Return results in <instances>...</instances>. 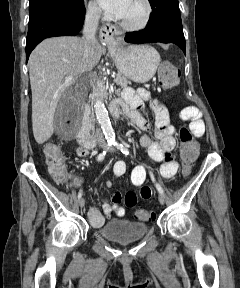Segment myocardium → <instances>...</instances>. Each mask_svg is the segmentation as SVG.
<instances>
[{"mask_svg":"<svg viewBox=\"0 0 240 288\" xmlns=\"http://www.w3.org/2000/svg\"><path fill=\"white\" fill-rule=\"evenodd\" d=\"M141 1L144 4L145 9H146L145 16H144L143 20L137 24H130V23H127L123 20H120L119 23L123 29H125L127 31H133V32L134 31H141V30L145 29L150 24V21L152 18V13H153V7L151 4V1L150 0H141Z\"/></svg>","mask_w":240,"mask_h":288,"instance_id":"f54148a6","label":"myocardium"}]
</instances>
